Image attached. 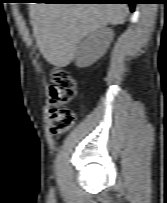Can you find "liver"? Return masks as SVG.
<instances>
[{
	"instance_id": "6515ba94",
	"label": "liver",
	"mask_w": 167,
	"mask_h": 203,
	"mask_svg": "<svg viewBox=\"0 0 167 203\" xmlns=\"http://www.w3.org/2000/svg\"><path fill=\"white\" fill-rule=\"evenodd\" d=\"M125 4L31 3L30 16L40 52L47 62L66 67L82 38L111 24L125 22Z\"/></svg>"
}]
</instances>
